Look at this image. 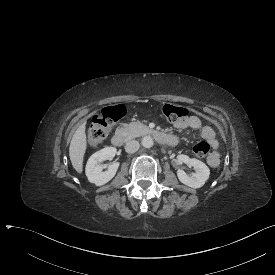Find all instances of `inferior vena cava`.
<instances>
[{"label": "inferior vena cava", "instance_id": "602c4592", "mask_svg": "<svg viewBox=\"0 0 275 275\" xmlns=\"http://www.w3.org/2000/svg\"><path fill=\"white\" fill-rule=\"evenodd\" d=\"M140 147V144L136 140H131L125 144V151L127 153H135Z\"/></svg>", "mask_w": 275, "mask_h": 275}]
</instances>
